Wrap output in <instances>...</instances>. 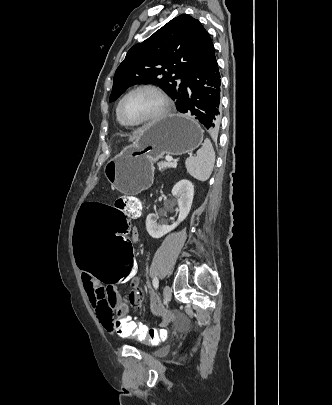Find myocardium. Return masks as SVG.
I'll list each match as a JSON object with an SVG mask.
<instances>
[{
    "instance_id": "1",
    "label": "myocardium",
    "mask_w": 332,
    "mask_h": 405,
    "mask_svg": "<svg viewBox=\"0 0 332 405\" xmlns=\"http://www.w3.org/2000/svg\"><path fill=\"white\" fill-rule=\"evenodd\" d=\"M139 90H149V91L154 92L160 99L161 106H160L159 110L151 117H148V118L140 120V121H135V122L129 121L123 116L122 105H123L124 100L129 95H131L132 93L139 91ZM169 111H170L169 98L167 97L165 92L160 87H158L157 85H154V84H140V85L130 89L128 92H126L122 96V98L119 100L118 105H117V114H118L119 119L128 126H140V125H146V124L157 122V121L161 120L163 117H165Z\"/></svg>"
}]
</instances>
